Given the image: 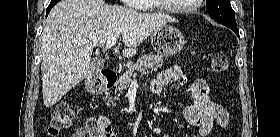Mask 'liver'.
<instances>
[{
    "instance_id": "obj_1",
    "label": "liver",
    "mask_w": 280,
    "mask_h": 137,
    "mask_svg": "<svg viewBox=\"0 0 280 137\" xmlns=\"http://www.w3.org/2000/svg\"><path fill=\"white\" fill-rule=\"evenodd\" d=\"M174 18L108 5L103 0H62L51 10L41 36L42 94L46 107L55 105L94 69L95 46L122 36L126 57L153 32Z\"/></svg>"
}]
</instances>
